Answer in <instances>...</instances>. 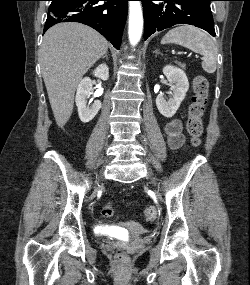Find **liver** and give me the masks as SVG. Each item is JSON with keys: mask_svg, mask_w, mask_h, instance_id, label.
Returning <instances> with one entry per match:
<instances>
[{"mask_svg": "<svg viewBox=\"0 0 250 285\" xmlns=\"http://www.w3.org/2000/svg\"><path fill=\"white\" fill-rule=\"evenodd\" d=\"M107 40L80 23H60L44 35L40 49L42 76L54 118L63 128L74 106L83 75L108 50Z\"/></svg>", "mask_w": 250, "mask_h": 285, "instance_id": "6515ba94", "label": "liver"}]
</instances>
